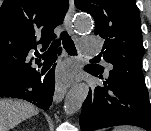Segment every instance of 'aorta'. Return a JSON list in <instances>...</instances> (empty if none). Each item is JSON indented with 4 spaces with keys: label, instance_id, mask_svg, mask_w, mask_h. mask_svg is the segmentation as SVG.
I'll use <instances>...</instances> for the list:
<instances>
[{
    "label": "aorta",
    "instance_id": "762f6f07",
    "mask_svg": "<svg viewBox=\"0 0 151 131\" xmlns=\"http://www.w3.org/2000/svg\"><path fill=\"white\" fill-rule=\"evenodd\" d=\"M74 28L79 33L89 32L92 28V23L89 16L86 14L79 15L74 22ZM88 93L89 86L87 84L79 83L75 85L66 95L64 101V111L67 114L77 112L88 96Z\"/></svg>",
    "mask_w": 151,
    "mask_h": 131
}]
</instances>
